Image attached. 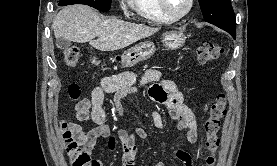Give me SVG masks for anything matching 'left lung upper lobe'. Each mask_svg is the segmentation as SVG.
Here are the masks:
<instances>
[{
  "mask_svg": "<svg viewBox=\"0 0 277 166\" xmlns=\"http://www.w3.org/2000/svg\"><path fill=\"white\" fill-rule=\"evenodd\" d=\"M204 20L226 30L234 38L236 24L230 0H199Z\"/></svg>",
  "mask_w": 277,
  "mask_h": 166,
  "instance_id": "1",
  "label": "left lung upper lobe"
}]
</instances>
